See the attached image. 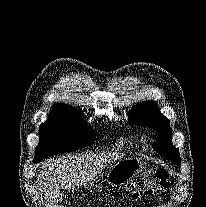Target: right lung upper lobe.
I'll return each instance as SVG.
<instances>
[{"label": "right lung upper lobe", "instance_id": "1", "mask_svg": "<svg viewBox=\"0 0 206 207\" xmlns=\"http://www.w3.org/2000/svg\"><path fill=\"white\" fill-rule=\"evenodd\" d=\"M53 109H59V110H69V111H75V112H81L82 111H79L69 105H66V104H56L53 106Z\"/></svg>", "mask_w": 206, "mask_h": 207}]
</instances>
